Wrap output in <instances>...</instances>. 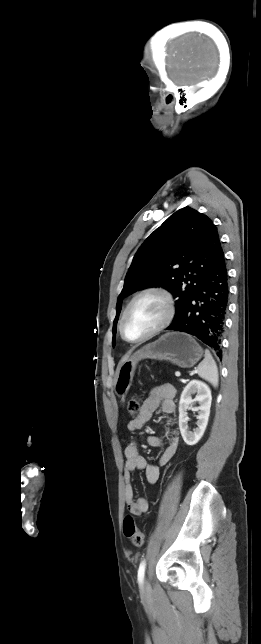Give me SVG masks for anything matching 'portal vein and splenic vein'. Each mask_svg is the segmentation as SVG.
Masks as SVG:
<instances>
[{"mask_svg": "<svg viewBox=\"0 0 261 644\" xmlns=\"http://www.w3.org/2000/svg\"><path fill=\"white\" fill-rule=\"evenodd\" d=\"M175 376L180 377L181 373L180 372H175Z\"/></svg>", "mask_w": 261, "mask_h": 644, "instance_id": "obj_1", "label": "portal vein and splenic vein"}]
</instances>
